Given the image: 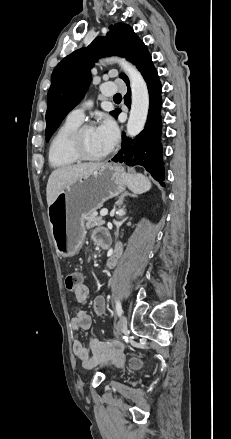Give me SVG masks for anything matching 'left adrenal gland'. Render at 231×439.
<instances>
[{"label": "left adrenal gland", "mask_w": 231, "mask_h": 439, "mask_svg": "<svg viewBox=\"0 0 231 439\" xmlns=\"http://www.w3.org/2000/svg\"><path fill=\"white\" fill-rule=\"evenodd\" d=\"M128 195L133 196V197H137L136 195H132V194L126 192L119 197V199L117 201L118 204L121 205L123 203L124 197L128 196Z\"/></svg>", "instance_id": "a2214340"}]
</instances>
